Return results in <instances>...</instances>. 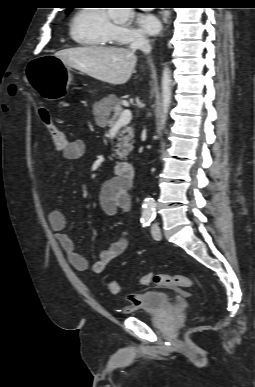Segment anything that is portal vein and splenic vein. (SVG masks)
<instances>
[{"label": "portal vein and splenic vein", "instance_id": "portal-vein-and-splenic-vein-1", "mask_svg": "<svg viewBox=\"0 0 255 387\" xmlns=\"http://www.w3.org/2000/svg\"><path fill=\"white\" fill-rule=\"evenodd\" d=\"M132 119V113L129 109H125L119 119L115 123V127L123 126L128 124Z\"/></svg>", "mask_w": 255, "mask_h": 387}]
</instances>
